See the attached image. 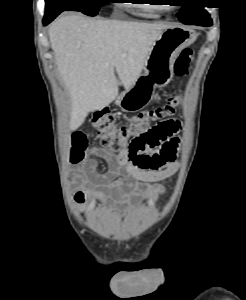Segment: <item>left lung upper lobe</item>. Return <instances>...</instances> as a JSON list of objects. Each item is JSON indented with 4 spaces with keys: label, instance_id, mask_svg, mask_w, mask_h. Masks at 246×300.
Returning <instances> with one entry per match:
<instances>
[{
    "label": "left lung upper lobe",
    "instance_id": "left-lung-upper-lobe-1",
    "mask_svg": "<svg viewBox=\"0 0 246 300\" xmlns=\"http://www.w3.org/2000/svg\"><path fill=\"white\" fill-rule=\"evenodd\" d=\"M186 3L182 6L180 13L177 14L179 20L184 24H196L202 21H207L210 15L203 7L199 6L201 0H184Z\"/></svg>",
    "mask_w": 246,
    "mask_h": 300
}]
</instances>
